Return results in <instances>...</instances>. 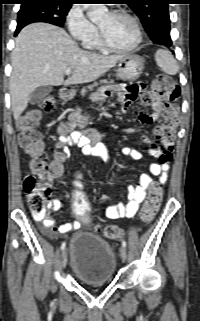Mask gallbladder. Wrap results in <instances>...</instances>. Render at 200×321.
<instances>
[{"instance_id": "1", "label": "gallbladder", "mask_w": 200, "mask_h": 321, "mask_svg": "<svg viewBox=\"0 0 200 321\" xmlns=\"http://www.w3.org/2000/svg\"><path fill=\"white\" fill-rule=\"evenodd\" d=\"M51 91V86H41L36 88L30 95V104L35 105L40 103Z\"/></svg>"}]
</instances>
